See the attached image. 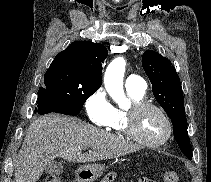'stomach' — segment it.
Returning a JSON list of instances; mask_svg holds the SVG:
<instances>
[{
    "label": "stomach",
    "instance_id": "1",
    "mask_svg": "<svg viewBox=\"0 0 211 182\" xmlns=\"http://www.w3.org/2000/svg\"><path fill=\"white\" fill-rule=\"evenodd\" d=\"M103 171L104 166L100 164L84 165L76 170V180L77 182H94L102 176Z\"/></svg>",
    "mask_w": 211,
    "mask_h": 182
}]
</instances>
